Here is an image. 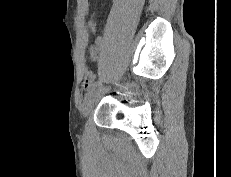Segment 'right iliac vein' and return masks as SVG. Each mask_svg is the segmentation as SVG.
I'll return each mask as SVG.
<instances>
[{"label": "right iliac vein", "instance_id": "obj_1", "mask_svg": "<svg viewBox=\"0 0 231 177\" xmlns=\"http://www.w3.org/2000/svg\"><path fill=\"white\" fill-rule=\"evenodd\" d=\"M95 97H96V89H93L92 91L86 94L82 106V114L84 117L87 116L90 110L92 109V106L95 102Z\"/></svg>", "mask_w": 231, "mask_h": 177}]
</instances>
